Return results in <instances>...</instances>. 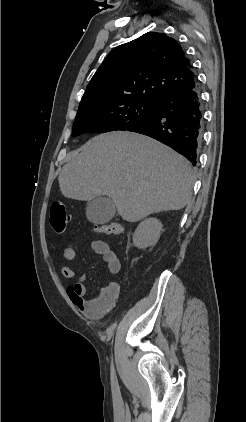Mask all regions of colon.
Listing matches in <instances>:
<instances>
[{"instance_id": "colon-1", "label": "colon", "mask_w": 246, "mask_h": 422, "mask_svg": "<svg viewBox=\"0 0 246 422\" xmlns=\"http://www.w3.org/2000/svg\"><path fill=\"white\" fill-rule=\"evenodd\" d=\"M68 221L69 218L64 203L60 200L53 201L50 207V224L54 231L57 233L64 232ZM94 231L106 235H120L123 232V228L117 223H112L95 226Z\"/></svg>"}]
</instances>
